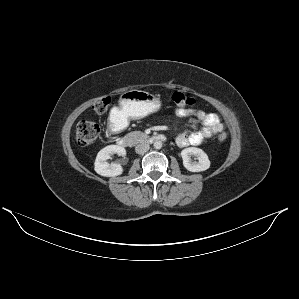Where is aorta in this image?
<instances>
[{"mask_svg": "<svg viewBox=\"0 0 299 299\" xmlns=\"http://www.w3.org/2000/svg\"><path fill=\"white\" fill-rule=\"evenodd\" d=\"M154 148L155 149H161L162 148V142L161 141H155L154 142Z\"/></svg>", "mask_w": 299, "mask_h": 299, "instance_id": "762f6f07", "label": "aorta"}]
</instances>
